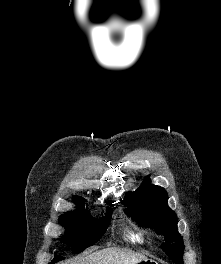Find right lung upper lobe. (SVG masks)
Instances as JSON below:
<instances>
[{
    "instance_id": "obj_1",
    "label": "right lung upper lobe",
    "mask_w": 221,
    "mask_h": 264,
    "mask_svg": "<svg viewBox=\"0 0 221 264\" xmlns=\"http://www.w3.org/2000/svg\"><path fill=\"white\" fill-rule=\"evenodd\" d=\"M74 202H76L79 206L81 205V203L84 201V199H82L81 197H77L75 196L73 198ZM82 207H79V209L77 211H82Z\"/></svg>"
}]
</instances>
